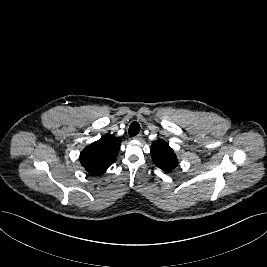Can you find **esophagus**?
<instances>
[{"mask_svg": "<svg viewBox=\"0 0 267 267\" xmlns=\"http://www.w3.org/2000/svg\"><path fill=\"white\" fill-rule=\"evenodd\" d=\"M134 139L140 141V140L142 139V134H138V135H136V136L134 137Z\"/></svg>", "mask_w": 267, "mask_h": 267, "instance_id": "obj_1", "label": "esophagus"}]
</instances>
